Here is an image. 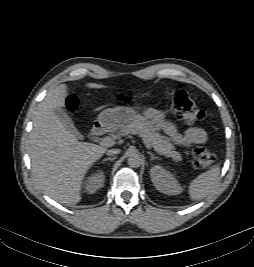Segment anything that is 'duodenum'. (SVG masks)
Segmentation results:
<instances>
[{"label": "duodenum", "mask_w": 254, "mask_h": 267, "mask_svg": "<svg viewBox=\"0 0 254 267\" xmlns=\"http://www.w3.org/2000/svg\"><path fill=\"white\" fill-rule=\"evenodd\" d=\"M105 132V126L101 122H96L91 129V136L98 137L101 136Z\"/></svg>", "instance_id": "410a0bca"}]
</instances>
